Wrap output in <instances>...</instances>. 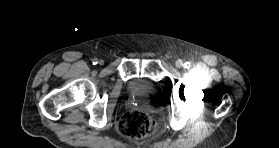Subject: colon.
Here are the masks:
<instances>
[{
    "label": "colon",
    "instance_id": "1",
    "mask_svg": "<svg viewBox=\"0 0 279 148\" xmlns=\"http://www.w3.org/2000/svg\"><path fill=\"white\" fill-rule=\"evenodd\" d=\"M158 127L156 119L149 113L130 110L121 117L119 131L132 139L140 140L151 136Z\"/></svg>",
    "mask_w": 279,
    "mask_h": 148
}]
</instances>
